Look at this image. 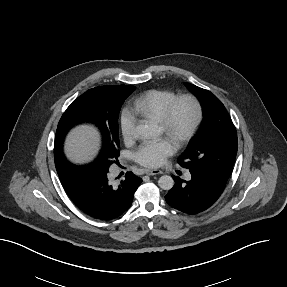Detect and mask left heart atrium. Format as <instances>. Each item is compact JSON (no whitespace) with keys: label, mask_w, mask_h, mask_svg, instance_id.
Wrapping results in <instances>:
<instances>
[{"label":"left heart atrium","mask_w":287,"mask_h":287,"mask_svg":"<svg viewBox=\"0 0 287 287\" xmlns=\"http://www.w3.org/2000/svg\"><path fill=\"white\" fill-rule=\"evenodd\" d=\"M176 150L172 140L157 139L145 141L136 151V161L146 167L156 168L161 166L166 159Z\"/></svg>","instance_id":"obj_1"}]
</instances>
